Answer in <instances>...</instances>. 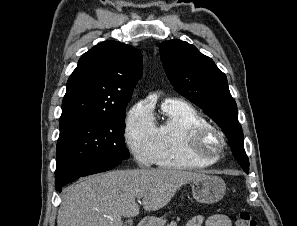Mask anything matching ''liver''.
Masks as SVG:
<instances>
[{"mask_svg": "<svg viewBox=\"0 0 297 226\" xmlns=\"http://www.w3.org/2000/svg\"><path fill=\"white\" fill-rule=\"evenodd\" d=\"M203 172L176 169L116 170L82 179L64 190L57 226H122L121 218L166 206L184 184Z\"/></svg>", "mask_w": 297, "mask_h": 226, "instance_id": "obj_1", "label": "liver"}]
</instances>
